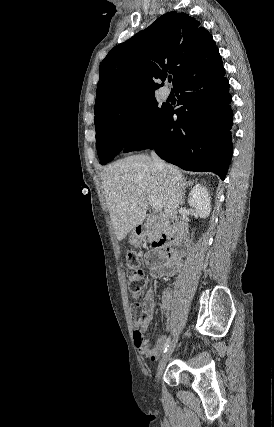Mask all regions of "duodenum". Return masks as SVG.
Returning a JSON list of instances; mask_svg holds the SVG:
<instances>
[{
	"label": "duodenum",
	"mask_w": 274,
	"mask_h": 427,
	"mask_svg": "<svg viewBox=\"0 0 274 427\" xmlns=\"http://www.w3.org/2000/svg\"><path fill=\"white\" fill-rule=\"evenodd\" d=\"M154 221H155L154 219H148L144 222H141L136 228L137 234L142 235L144 233L146 227L148 225L152 224ZM159 221L163 225V233L159 237V239L157 241V245L164 247L166 254H171L172 252L170 249V245H171L172 240L176 237V235L179 232L180 224L176 220H172L170 223H164L163 219L160 218Z\"/></svg>",
	"instance_id": "410a0bca"
}]
</instances>
